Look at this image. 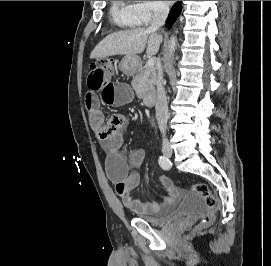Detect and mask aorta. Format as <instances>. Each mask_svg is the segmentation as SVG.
<instances>
[{
	"instance_id": "aorta-1",
	"label": "aorta",
	"mask_w": 271,
	"mask_h": 266,
	"mask_svg": "<svg viewBox=\"0 0 271 266\" xmlns=\"http://www.w3.org/2000/svg\"><path fill=\"white\" fill-rule=\"evenodd\" d=\"M176 49V37L175 36H171L170 41H169V51L170 54H174Z\"/></svg>"
}]
</instances>
